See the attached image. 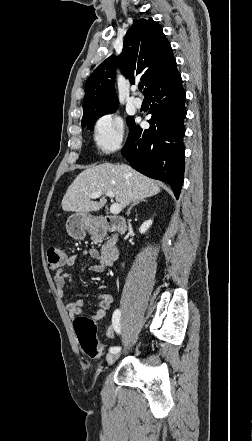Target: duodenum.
<instances>
[{
	"label": "duodenum",
	"instance_id": "410a0bca",
	"mask_svg": "<svg viewBox=\"0 0 252 441\" xmlns=\"http://www.w3.org/2000/svg\"><path fill=\"white\" fill-rule=\"evenodd\" d=\"M100 222L111 229L117 230L121 233L126 231V225L122 218L117 216H105L100 219ZM119 251L116 246L110 245L101 253V260L105 266H111L117 259Z\"/></svg>",
	"mask_w": 252,
	"mask_h": 441
}]
</instances>
